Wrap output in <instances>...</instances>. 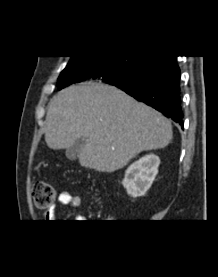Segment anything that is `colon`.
Segmentation results:
<instances>
[{"instance_id":"1","label":"colon","mask_w":218,"mask_h":277,"mask_svg":"<svg viewBox=\"0 0 218 277\" xmlns=\"http://www.w3.org/2000/svg\"><path fill=\"white\" fill-rule=\"evenodd\" d=\"M32 197L37 208L46 209L54 204L56 191L50 183L38 181L32 186Z\"/></svg>"}]
</instances>
